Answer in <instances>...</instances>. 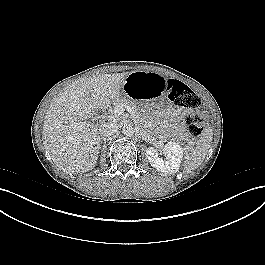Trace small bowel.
<instances>
[{
    "label": "small bowel",
    "mask_w": 265,
    "mask_h": 265,
    "mask_svg": "<svg viewBox=\"0 0 265 265\" xmlns=\"http://www.w3.org/2000/svg\"><path fill=\"white\" fill-rule=\"evenodd\" d=\"M177 115L182 116V115H184V112L181 110H177Z\"/></svg>",
    "instance_id": "obj_1"
}]
</instances>
